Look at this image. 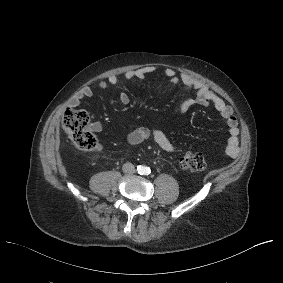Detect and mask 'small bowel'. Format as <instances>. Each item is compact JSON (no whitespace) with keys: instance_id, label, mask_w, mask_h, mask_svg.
<instances>
[{"instance_id":"obj_1","label":"small bowel","mask_w":283,"mask_h":283,"mask_svg":"<svg viewBox=\"0 0 283 283\" xmlns=\"http://www.w3.org/2000/svg\"><path fill=\"white\" fill-rule=\"evenodd\" d=\"M155 70L153 66H146L134 70H130L125 74V79L131 80L134 78L143 79ZM167 80L172 84L181 83L189 89L195 91V96L186 99L182 103V111L186 112L195 105H202L216 110L221 117L226 121L229 138L226 145L222 149L225 157H235L240 152L239 146V123L234 115L233 108L226 103L218 94L213 92L199 79L187 74H178L174 69L168 68L164 72ZM118 83V77L110 76L107 80L101 81L95 85L86 86L79 91L70 101L72 107H77L85 99L93 96L96 90H107ZM119 101L126 105L130 102L128 94L121 93ZM90 130L99 133L102 130L100 122H93L90 125ZM152 138L154 142L166 152H176L178 147L167 137V135L158 129L151 130L147 127H139L126 135V141L130 145H137L143 141Z\"/></svg>"}]
</instances>
